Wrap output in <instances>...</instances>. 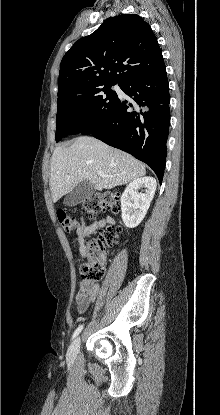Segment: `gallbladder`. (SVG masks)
I'll return each mask as SVG.
<instances>
[{"label": "gallbladder", "mask_w": 220, "mask_h": 415, "mask_svg": "<svg viewBox=\"0 0 220 415\" xmlns=\"http://www.w3.org/2000/svg\"><path fill=\"white\" fill-rule=\"evenodd\" d=\"M94 192V185L88 180H84L65 197L64 203L67 206H75L90 198Z\"/></svg>", "instance_id": "1"}]
</instances>
